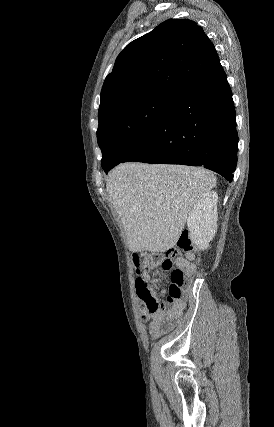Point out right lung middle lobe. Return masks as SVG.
Here are the masks:
<instances>
[{
	"label": "right lung middle lobe",
	"instance_id": "dd1d6c3e",
	"mask_svg": "<svg viewBox=\"0 0 274 427\" xmlns=\"http://www.w3.org/2000/svg\"><path fill=\"white\" fill-rule=\"evenodd\" d=\"M175 98L145 95L116 103L99 114L97 137L102 168L123 160L154 129Z\"/></svg>",
	"mask_w": 274,
	"mask_h": 427
}]
</instances>
